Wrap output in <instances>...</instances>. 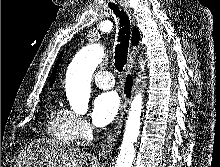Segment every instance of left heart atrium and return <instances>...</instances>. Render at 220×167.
Returning a JSON list of instances; mask_svg holds the SVG:
<instances>
[{"instance_id": "obj_1", "label": "left heart atrium", "mask_w": 220, "mask_h": 167, "mask_svg": "<svg viewBox=\"0 0 220 167\" xmlns=\"http://www.w3.org/2000/svg\"><path fill=\"white\" fill-rule=\"evenodd\" d=\"M120 100L115 92H104L97 96L92 108V120L98 127L111 123L119 110Z\"/></svg>"}]
</instances>
